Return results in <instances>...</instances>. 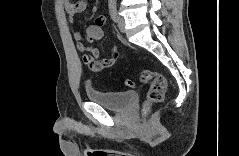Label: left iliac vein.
Wrapping results in <instances>:
<instances>
[{
	"label": "left iliac vein",
	"mask_w": 239,
	"mask_h": 156,
	"mask_svg": "<svg viewBox=\"0 0 239 156\" xmlns=\"http://www.w3.org/2000/svg\"><path fill=\"white\" fill-rule=\"evenodd\" d=\"M118 27L122 33L125 32V20L122 17L118 19Z\"/></svg>",
	"instance_id": "left-iliac-vein-1"
}]
</instances>
